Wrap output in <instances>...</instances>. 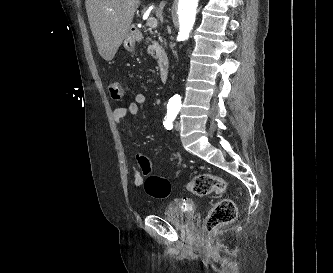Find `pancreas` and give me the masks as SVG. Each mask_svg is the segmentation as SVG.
Instances as JSON below:
<instances>
[{
  "label": "pancreas",
  "instance_id": "pancreas-1",
  "mask_svg": "<svg viewBox=\"0 0 333 273\" xmlns=\"http://www.w3.org/2000/svg\"><path fill=\"white\" fill-rule=\"evenodd\" d=\"M162 47L158 44V42H153L152 45L148 47V53L151 54L154 58L156 57L155 51L160 50Z\"/></svg>",
  "mask_w": 333,
  "mask_h": 273
}]
</instances>
